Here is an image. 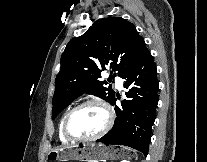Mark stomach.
Returning a JSON list of instances; mask_svg holds the SVG:
<instances>
[{"label": "stomach", "mask_w": 207, "mask_h": 162, "mask_svg": "<svg viewBox=\"0 0 207 162\" xmlns=\"http://www.w3.org/2000/svg\"><path fill=\"white\" fill-rule=\"evenodd\" d=\"M129 149L116 148L104 144H80L70 148L53 149L47 156L49 162H67L70 160L81 162L114 161L130 157Z\"/></svg>", "instance_id": "obj_1"}]
</instances>
